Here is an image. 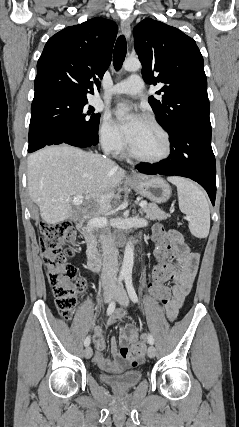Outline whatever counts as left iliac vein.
<instances>
[{
    "label": "left iliac vein",
    "instance_id": "obj_1",
    "mask_svg": "<svg viewBox=\"0 0 239 427\" xmlns=\"http://www.w3.org/2000/svg\"><path fill=\"white\" fill-rule=\"evenodd\" d=\"M115 297H116L117 302L120 305H122L124 307L128 306V304H129V298H128V295H127V293H126V291H125V289L123 287H119L117 289ZM147 354H148V356L150 358H154L155 355H156V349H155V347L152 346V345L149 346Z\"/></svg>",
    "mask_w": 239,
    "mask_h": 427
}]
</instances>
